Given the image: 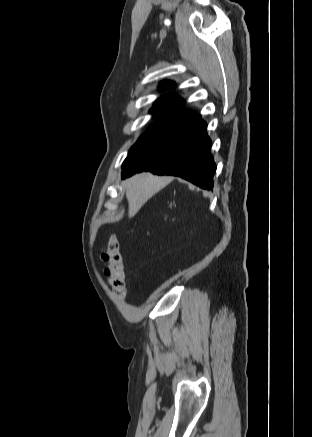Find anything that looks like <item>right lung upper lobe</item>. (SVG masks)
I'll list each match as a JSON object with an SVG mask.
<instances>
[{
  "label": "right lung upper lobe",
  "instance_id": "1",
  "mask_svg": "<svg viewBox=\"0 0 312 437\" xmlns=\"http://www.w3.org/2000/svg\"><path fill=\"white\" fill-rule=\"evenodd\" d=\"M174 86L175 83L165 80L161 83L159 90L170 89L173 88ZM183 104H184V100L181 97H178L177 94H169V95H162L160 98H158L155 101L154 107H168V108H175L183 111L193 112L191 110L178 107Z\"/></svg>",
  "mask_w": 312,
  "mask_h": 437
}]
</instances>
